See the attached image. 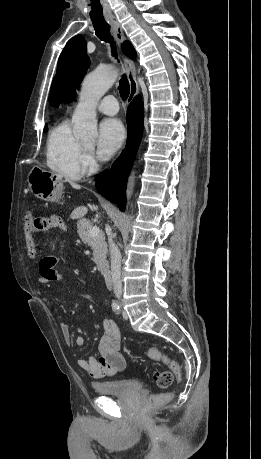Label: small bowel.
Returning <instances> with one entry per match:
<instances>
[{"mask_svg":"<svg viewBox=\"0 0 261 459\" xmlns=\"http://www.w3.org/2000/svg\"><path fill=\"white\" fill-rule=\"evenodd\" d=\"M65 228L66 225L62 218L54 215L43 220L41 228L37 230H64ZM34 244L37 246V237ZM55 263L56 258L54 257H46L39 262V282L45 287H49L54 282L65 279L62 274L55 270ZM102 328L103 335L99 342V358L88 356L78 361L80 368L94 378L112 376L123 370L126 365L125 359L120 352L121 331L118 325L112 319L106 318L103 320ZM60 329L65 342L70 345L72 343V335L69 327L61 323ZM75 343L77 346L83 347L86 340L83 336H78L75 339Z\"/></svg>","mask_w":261,"mask_h":459,"instance_id":"small-bowel-1","label":"small bowel"}]
</instances>
